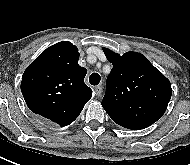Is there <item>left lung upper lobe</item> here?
Masks as SVG:
<instances>
[{
	"label": "left lung upper lobe",
	"instance_id": "left-lung-upper-lobe-1",
	"mask_svg": "<svg viewBox=\"0 0 190 165\" xmlns=\"http://www.w3.org/2000/svg\"><path fill=\"white\" fill-rule=\"evenodd\" d=\"M103 51L113 68L102 106L118 125L140 130L159 120L171 98L170 81L140 53Z\"/></svg>",
	"mask_w": 190,
	"mask_h": 165
}]
</instances>
